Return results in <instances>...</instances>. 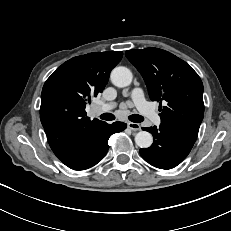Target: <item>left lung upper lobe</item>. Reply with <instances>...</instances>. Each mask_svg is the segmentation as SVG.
Returning a JSON list of instances; mask_svg holds the SVG:
<instances>
[{
  "mask_svg": "<svg viewBox=\"0 0 231 231\" xmlns=\"http://www.w3.org/2000/svg\"><path fill=\"white\" fill-rule=\"evenodd\" d=\"M130 62L144 78L150 99L160 101L161 124L196 141L203 119V84L188 63L162 49L128 50ZM166 101L162 107L161 102Z\"/></svg>",
  "mask_w": 231,
  "mask_h": 231,
  "instance_id": "left-lung-upper-lobe-1",
  "label": "left lung upper lobe"
}]
</instances>
